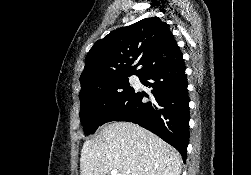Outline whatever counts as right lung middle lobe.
<instances>
[{
  "mask_svg": "<svg viewBox=\"0 0 251 175\" xmlns=\"http://www.w3.org/2000/svg\"><path fill=\"white\" fill-rule=\"evenodd\" d=\"M129 76H123L104 85L81 88L80 119L87 135L102 125L105 115L134 91L129 86Z\"/></svg>",
  "mask_w": 251,
  "mask_h": 175,
  "instance_id": "1",
  "label": "right lung middle lobe"
}]
</instances>
